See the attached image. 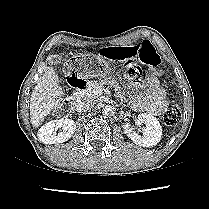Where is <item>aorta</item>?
<instances>
[{
  "instance_id": "obj_1",
  "label": "aorta",
  "mask_w": 209,
  "mask_h": 209,
  "mask_svg": "<svg viewBox=\"0 0 209 209\" xmlns=\"http://www.w3.org/2000/svg\"><path fill=\"white\" fill-rule=\"evenodd\" d=\"M115 107L113 105H106L102 109V114L105 117H112L115 114Z\"/></svg>"
}]
</instances>
